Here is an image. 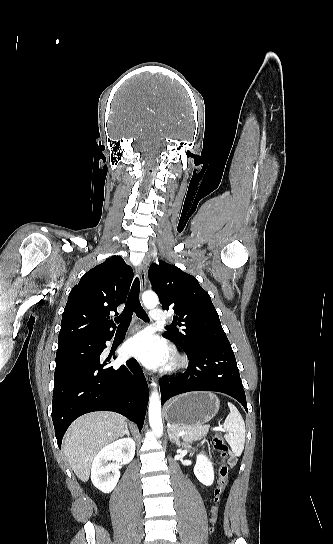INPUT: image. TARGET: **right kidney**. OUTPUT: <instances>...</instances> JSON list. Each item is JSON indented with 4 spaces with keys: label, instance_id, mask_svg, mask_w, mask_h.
<instances>
[{
    "label": "right kidney",
    "instance_id": "ca27d5eb",
    "mask_svg": "<svg viewBox=\"0 0 333 544\" xmlns=\"http://www.w3.org/2000/svg\"><path fill=\"white\" fill-rule=\"evenodd\" d=\"M135 442L131 438L119 439L103 447L95 456L91 467V480L103 493L111 492L120 478V469L132 461ZM116 461V463H110Z\"/></svg>",
    "mask_w": 333,
    "mask_h": 544
}]
</instances>
